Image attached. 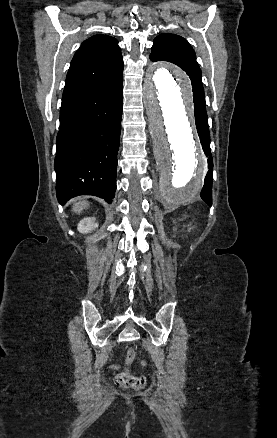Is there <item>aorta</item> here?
Masks as SVG:
<instances>
[{
    "label": "aorta",
    "mask_w": 277,
    "mask_h": 438,
    "mask_svg": "<svg viewBox=\"0 0 277 438\" xmlns=\"http://www.w3.org/2000/svg\"><path fill=\"white\" fill-rule=\"evenodd\" d=\"M143 90L161 172L160 196L165 202L183 204L198 194L207 168L195 129L190 80L177 68L155 64L145 76Z\"/></svg>",
    "instance_id": "aorta-1"
}]
</instances>
